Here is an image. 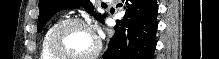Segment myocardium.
I'll list each match as a JSON object with an SVG mask.
<instances>
[{
    "label": "myocardium",
    "mask_w": 219,
    "mask_h": 59,
    "mask_svg": "<svg viewBox=\"0 0 219 59\" xmlns=\"http://www.w3.org/2000/svg\"><path fill=\"white\" fill-rule=\"evenodd\" d=\"M72 25H80L89 29L88 24L80 18H67L60 21L52 30L49 37V49L50 52L58 59H94L96 58L102 47L101 40L95 35L96 44L94 49L85 55L74 56L67 54L61 47L60 39L62 33Z\"/></svg>",
    "instance_id": "obj_1"
}]
</instances>
